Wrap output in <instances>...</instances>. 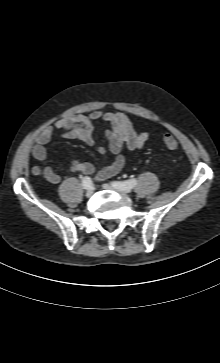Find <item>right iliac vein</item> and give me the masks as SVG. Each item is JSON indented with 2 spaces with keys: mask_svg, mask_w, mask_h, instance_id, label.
<instances>
[{
  "mask_svg": "<svg viewBox=\"0 0 220 363\" xmlns=\"http://www.w3.org/2000/svg\"><path fill=\"white\" fill-rule=\"evenodd\" d=\"M93 196V190H88L87 192H86V197L87 198H91Z\"/></svg>",
  "mask_w": 220,
  "mask_h": 363,
  "instance_id": "1",
  "label": "right iliac vein"
}]
</instances>
